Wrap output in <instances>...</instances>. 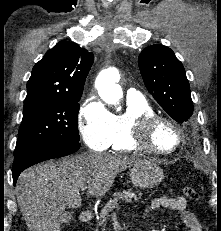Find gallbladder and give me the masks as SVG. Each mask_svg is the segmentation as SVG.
Instances as JSON below:
<instances>
[{
	"label": "gallbladder",
	"instance_id": "bac80fb5",
	"mask_svg": "<svg viewBox=\"0 0 221 231\" xmlns=\"http://www.w3.org/2000/svg\"><path fill=\"white\" fill-rule=\"evenodd\" d=\"M73 219V213L71 211H65L62 215L61 222L69 223Z\"/></svg>",
	"mask_w": 221,
	"mask_h": 231
}]
</instances>
